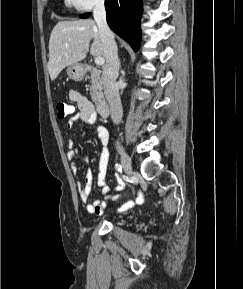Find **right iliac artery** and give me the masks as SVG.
<instances>
[{
    "label": "right iliac artery",
    "instance_id": "82829eb1",
    "mask_svg": "<svg viewBox=\"0 0 243 289\" xmlns=\"http://www.w3.org/2000/svg\"><path fill=\"white\" fill-rule=\"evenodd\" d=\"M115 168L118 172H121L122 171V166L120 164H116L115 165Z\"/></svg>",
    "mask_w": 243,
    "mask_h": 289
}]
</instances>
